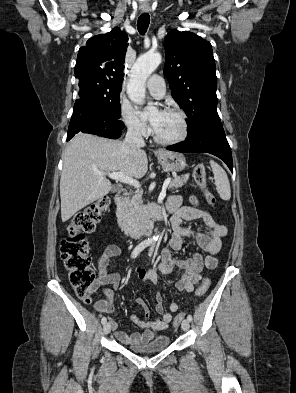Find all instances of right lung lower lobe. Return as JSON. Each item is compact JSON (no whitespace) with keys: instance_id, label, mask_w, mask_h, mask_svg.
<instances>
[{"instance_id":"obj_1","label":"right lung lower lobe","mask_w":296,"mask_h":393,"mask_svg":"<svg viewBox=\"0 0 296 393\" xmlns=\"http://www.w3.org/2000/svg\"><path fill=\"white\" fill-rule=\"evenodd\" d=\"M124 123L95 104L77 99L70 120L67 141L78 132L117 139L122 134Z\"/></svg>"}]
</instances>
